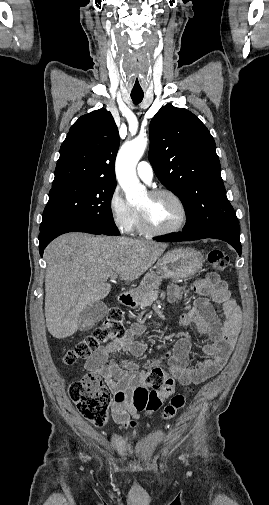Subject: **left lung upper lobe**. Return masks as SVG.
Returning a JSON list of instances; mask_svg holds the SVG:
<instances>
[{
	"instance_id": "1",
	"label": "left lung upper lobe",
	"mask_w": 269,
	"mask_h": 505,
	"mask_svg": "<svg viewBox=\"0 0 269 505\" xmlns=\"http://www.w3.org/2000/svg\"><path fill=\"white\" fill-rule=\"evenodd\" d=\"M149 161L185 207L183 234L240 232L221 178L215 141L193 113L171 104L157 112L150 124Z\"/></svg>"
}]
</instances>
